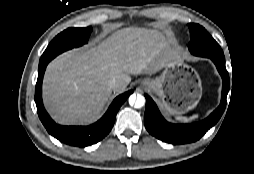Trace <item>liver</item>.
Returning a JSON list of instances; mask_svg holds the SVG:
<instances>
[{"label":"liver","mask_w":254,"mask_h":174,"mask_svg":"<svg viewBox=\"0 0 254 174\" xmlns=\"http://www.w3.org/2000/svg\"><path fill=\"white\" fill-rule=\"evenodd\" d=\"M172 43L161 32L127 27L87 50H71L52 60L43 82V101L61 124L94 120L112 91L123 92L130 75L156 72L174 57ZM116 78L119 86H109Z\"/></svg>","instance_id":"6515ba94"}]
</instances>
